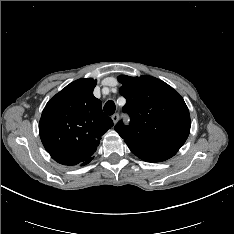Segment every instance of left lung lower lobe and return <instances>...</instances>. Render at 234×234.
I'll use <instances>...</instances> for the list:
<instances>
[{
  "mask_svg": "<svg viewBox=\"0 0 234 234\" xmlns=\"http://www.w3.org/2000/svg\"><path fill=\"white\" fill-rule=\"evenodd\" d=\"M132 153L147 162H160L174 156L177 151L172 150H150L133 146H128Z\"/></svg>",
  "mask_w": 234,
  "mask_h": 234,
  "instance_id": "obj_1",
  "label": "left lung lower lobe"
}]
</instances>
